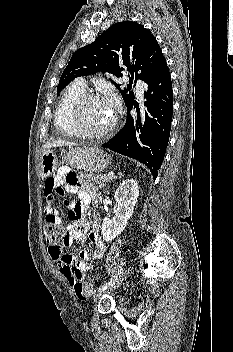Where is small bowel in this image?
<instances>
[{
  "label": "small bowel",
  "mask_w": 233,
  "mask_h": 352,
  "mask_svg": "<svg viewBox=\"0 0 233 352\" xmlns=\"http://www.w3.org/2000/svg\"><path fill=\"white\" fill-rule=\"evenodd\" d=\"M65 193H76L75 200H65L68 208L69 224L64 226L59 211L53 205L57 195ZM45 222L60 227L64 234L66 243L64 246L85 240L86 234L89 242L95 246L92 251L82 250L76 254L63 251L64 246L51 245L49 254L57 262L61 273L71 285H74L83 274L90 270L93 265L90 263L99 262L105 254V244L100 235V222L96 218L91 228L84 217L85 207L95 198L94 188L80 180L77 174L69 167H61L57 174L45 181Z\"/></svg>",
  "instance_id": "small-bowel-1"
}]
</instances>
